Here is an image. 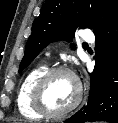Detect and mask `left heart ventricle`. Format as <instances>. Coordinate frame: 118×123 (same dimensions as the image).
<instances>
[{
  "label": "left heart ventricle",
  "instance_id": "b2bd125f",
  "mask_svg": "<svg viewBox=\"0 0 118 123\" xmlns=\"http://www.w3.org/2000/svg\"><path fill=\"white\" fill-rule=\"evenodd\" d=\"M76 93L74 80L68 74H57L46 88L45 101L51 109L62 110L74 101Z\"/></svg>",
  "mask_w": 118,
  "mask_h": 123
}]
</instances>
